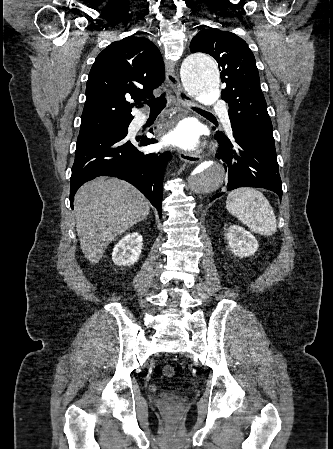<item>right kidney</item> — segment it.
Wrapping results in <instances>:
<instances>
[{"label":"right kidney","instance_id":"ca27d5eb","mask_svg":"<svg viewBox=\"0 0 333 449\" xmlns=\"http://www.w3.org/2000/svg\"><path fill=\"white\" fill-rule=\"evenodd\" d=\"M142 235L133 232L124 236L114 247L112 260L115 265H131L135 263L142 250Z\"/></svg>","mask_w":333,"mask_h":449}]
</instances>
